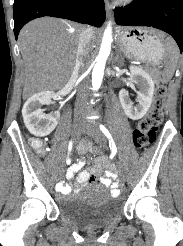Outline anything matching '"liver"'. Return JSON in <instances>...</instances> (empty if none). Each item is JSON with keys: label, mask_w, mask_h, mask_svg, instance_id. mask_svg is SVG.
<instances>
[{"label": "liver", "mask_w": 183, "mask_h": 246, "mask_svg": "<svg viewBox=\"0 0 183 246\" xmlns=\"http://www.w3.org/2000/svg\"><path fill=\"white\" fill-rule=\"evenodd\" d=\"M84 28L52 17L35 19L23 27L18 41L25 67L24 99L66 85L75 65L79 37ZM92 31L89 52L98 39V31L93 28Z\"/></svg>", "instance_id": "6515ba94"}]
</instances>
